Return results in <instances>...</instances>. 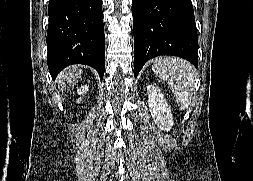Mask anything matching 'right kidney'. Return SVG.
Wrapping results in <instances>:
<instances>
[{"label":"right kidney","mask_w":253,"mask_h":181,"mask_svg":"<svg viewBox=\"0 0 253 181\" xmlns=\"http://www.w3.org/2000/svg\"><path fill=\"white\" fill-rule=\"evenodd\" d=\"M87 91H88V86H87V85H84V86H81V88L78 90V94H79V95H82V94L87 93ZM81 100H82V99L79 98L77 102L80 103Z\"/></svg>","instance_id":"ca27d5eb"}]
</instances>
